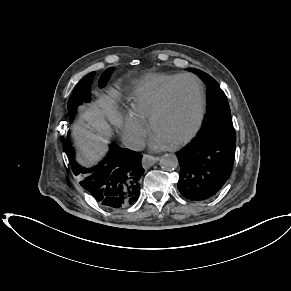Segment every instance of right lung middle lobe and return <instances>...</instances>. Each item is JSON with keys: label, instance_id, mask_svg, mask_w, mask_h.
<instances>
[{"label": "right lung middle lobe", "instance_id": "obj_1", "mask_svg": "<svg viewBox=\"0 0 291 291\" xmlns=\"http://www.w3.org/2000/svg\"><path fill=\"white\" fill-rule=\"evenodd\" d=\"M112 73V69L108 68L99 79V86L103 87L108 81L110 74ZM95 75V72H91L85 77H83L79 83L75 86L72 95L68 101V116L69 122H73L76 117L77 108L82 102L90 101V84ZM69 142V140L67 141Z\"/></svg>", "mask_w": 291, "mask_h": 291}]
</instances>
